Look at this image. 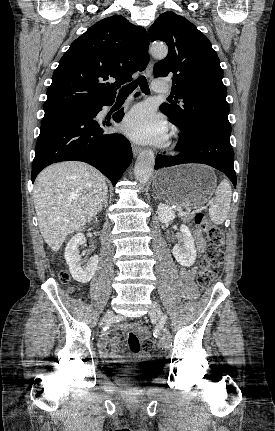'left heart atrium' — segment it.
Segmentation results:
<instances>
[{
    "label": "left heart atrium",
    "mask_w": 275,
    "mask_h": 431,
    "mask_svg": "<svg viewBox=\"0 0 275 431\" xmlns=\"http://www.w3.org/2000/svg\"><path fill=\"white\" fill-rule=\"evenodd\" d=\"M123 132L139 143L163 144L167 138V124L149 105L133 108L122 122Z\"/></svg>",
    "instance_id": "left-heart-atrium-1"
}]
</instances>
